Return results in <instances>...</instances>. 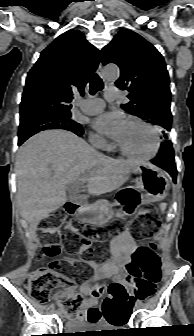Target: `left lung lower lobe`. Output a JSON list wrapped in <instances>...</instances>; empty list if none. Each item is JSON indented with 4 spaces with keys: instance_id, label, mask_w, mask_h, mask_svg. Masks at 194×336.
Wrapping results in <instances>:
<instances>
[{
    "instance_id": "0a47b994",
    "label": "left lung lower lobe",
    "mask_w": 194,
    "mask_h": 336,
    "mask_svg": "<svg viewBox=\"0 0 194 336\" xmlns=\"http://www.w3.org/2000/svg\"><path fill=\"white\" fill-rule=\"evenodd\" d=\"M153 164L166 170L176 182L177 169L174 160V151L170 141L166 140L160 148V151L155 159L152 160Z\"/></svg>"
}]
</instances>
